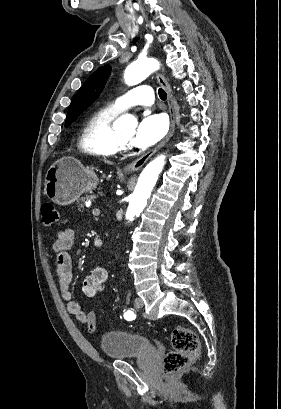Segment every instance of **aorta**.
<instances>
[{
	"instance_id": "762f6f07",
	"label": "aorta",
	"mask_w": 281,
	"mask_h": 409,
	"mask_svg": "<svg viewBox=\"0 0 281 409\" xmlns=\"http://www.w3.org/2000/svg\"><path fill=\"white\" fill-rule=\"evenodd\" d=\"M159 62L154 58L138 59L131 63L125 70L124 79L127 85L134 86L145 80L151 73L159 69ZM117 128L133 129L136 126L135 118L130 115H122L116 121ZM165 156L161 155L151 161L141 172L137 185L130 197L126 212V219L132 221L139 215L147 204V199L155 186L159 174L163 170Z\"/></svg>"
}]
</instances>
